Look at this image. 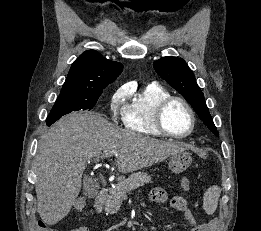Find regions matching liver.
I'll use <instances>...</instances> for the list:
<instances>
[{"label": "liver", "mask_w": 261, "mask_h": 231, "mask_svg": "<svg viewBox=\"0 0 261 231\" xmlns=\"http://www.w3.org/2000/svg\"><path fill=\"white\" fill-rule=\"evenodd\" d=\"M182 142L162 141L123 130L100 114L74 112L42 136L35 158L37 211L54 225L70 212L82 186L87 162L114 151L121 173L137 171L185 151Z\"/></svg>", "instance_id": "1"}]
</instances>
